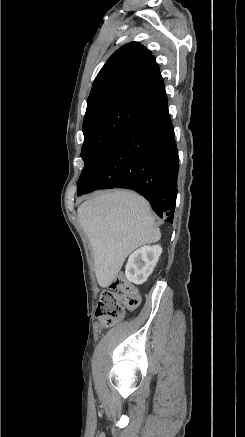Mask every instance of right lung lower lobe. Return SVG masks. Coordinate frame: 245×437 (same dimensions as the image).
I'll list each match as a JSON object with an SVG mask.
<instances>
[{"label":"right lung lower lobe","instance_id":"1","mask_svg":"<svg viewBox=\"0 0 245 437\" xmlns=\"http://www.w3.org/2000/svg\"><path fill=\"white\" fill-rule=\"evenodd\" d=\"M179 157L167 99L146 106L128 122L77 195L98 189L126 188L144 196L154 212L173 222Z\"/></svg>","mask_w":245,"mask_h":437}]
</instances>
